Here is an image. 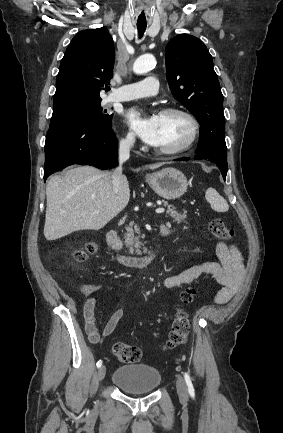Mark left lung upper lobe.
<instances>
[{"mask_svg":"<svg viewBox=\"0 0 283 433\" xmlns=\"http://www.w3.org/2000/svg\"><path fill=\"white\" fill-rule=\"evenodd\" d=\"M166 77L175 99L197 119L201 131L225 134L223 95L212 57L198 38L179 34L165 49Z\"/></svg>","mask_w":283,"mask_h":433,"instance_id":"left-lung-upper-lobe-1","label":"left lung upper lobe"}]
</instances>
